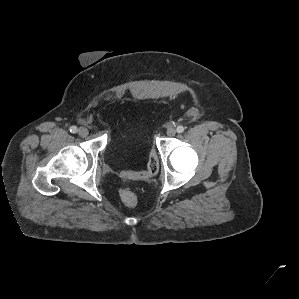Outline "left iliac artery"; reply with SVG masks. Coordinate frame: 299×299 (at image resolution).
<instances>
[{"label": "left iliac artery", "mask_w": 299, "mask_h": 299, "mask_svg": "<svg viewBox=\"0 0 299 299\" xmlns=\"http://www.w3.org/2000/svg\"><path fill=\"white\" fill-rule=\"evenodd\" d=\"M176 130H177L178 133H182V132H184V127L183 126H178Z\"/></svg>", "instance_id": "1"}]
</instances>
